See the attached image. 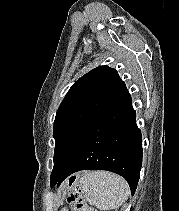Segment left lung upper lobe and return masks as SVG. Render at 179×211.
Returning a JSON list of instances; mask_svg holds the SVG:
<instances>
[{"label": "left lung upper lobe", "instance_id": "5c2ea615", "mask_svg": "<svg viewBox=\"0 0 179 211\" xmlns=\"http://www.w3.org/2000/svg\"><path fill=\"white\" fill-rule=\"evenodd\" d=\"M124 88L117 71L108 66H98L71 86L55 117L56 146L51 176L64 172L99 116Z\"/></svg>", "mask_w": 179, "mask_h": 211}]
</instances>
